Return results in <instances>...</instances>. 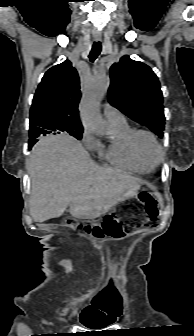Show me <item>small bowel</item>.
I'll return each mask as SVG.
<instances>
[{
    "instance_id": "c3829d8e",
    "label": "small bowel",
    "mask_w": 194,
    "mask_h": 336,
    "mask_svg": "<svg viewBox=\"0 0 194 336\" xmlns=\"http://www.w3.org/2000/svg\"><path fill=\"white\" fill-rule=\"evenodd\" d=\"M117 293L109 288L105 293L97 294L88 319L83 324L88 327H108L120 316V309L116 305Z\"/></svg>"
}]
</instances>
